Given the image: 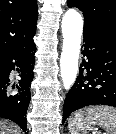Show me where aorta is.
<instances>
[{
  "instance_id": "1",
  "label": "aorta",
  "mask_w": 116,
  "mask_h": 134,
  "mask_svg": "<svg viewBox=\"0 0 116 134\" xmlns=\"http://www.w3.org/2000/svg\"><path fill=\"white\" fill-rule=\"evenodd\" d=\"M63 47L60 58L63 86L69 90L74 84L78 72L83 18L74 9L68 10L62 18Z\"/></svg>"
}]
</instances>
